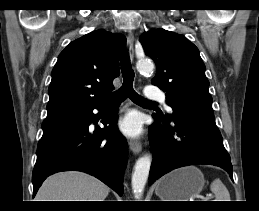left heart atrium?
I'll return each instance as SVG.
<instances>
[{"label":"left heart atrium","instance_id":"obj_1","mask_svg":"<svg viewBox=\"0 0 259 211\" xmlns=\"http://www.w3.org/2000/svg\"><path fill=\"white\" fill-rule=\"evenodd\" d=\"M120 129L128 136L135 137L141 133V121L135 114H129L120 122Z\"/></svg>","mask_w":259,"mask_h":211}]
</instances>
